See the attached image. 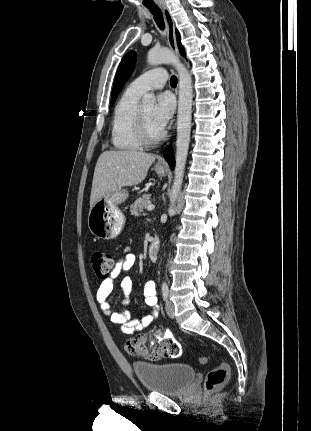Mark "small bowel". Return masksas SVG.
<instances>
[{"mask_svg": "<svg viewBox=\"0 0 311 431\" xmlns=\"http://www.w3.org/2000/svg\"><path fill=\"white\" fill-rule=\"evenodd\" d=\"M136 261L135 254L130 251L126 250L118 259V263L111 272V274L104 279L98 290H97V301L99 303V306L102 310V312L109 316L111 321L115 324H118L121 328V331L125 334H132L135 331H142L146 329L148 326H150L158 317L159 314V306L156 296V286L155 282L152 280H149L145 283L144 289H143V295L145 303L148 307H150L149 314L137 318V319H131L130 313L126 310H113L111 308L110 302H109V296L113 290V286L116 282V280L124 273L131 270V268L134 266ZM121 288L124 294V301L123 303H127L128 299L130 297V294L132 292V280L128 276H124L121 281ZM143 336H147L144 334ZM172 334L170 332L162 333L161 328H156L154 331V338L160 339L163 337H168Z\"/></svg>", "mask_w": 311, "mask_h": 431, "instance_id": "1", "label": "small bowel"}]
</instances>
